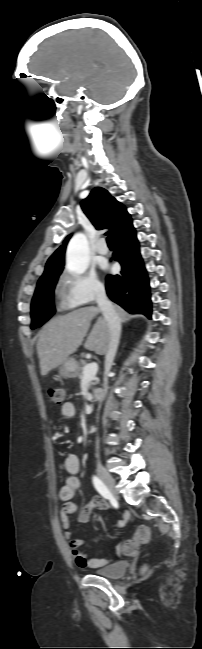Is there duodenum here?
<instances>
[{
  "instance_id": "duodenum-1",
  "label": "duodenum",
  "mask_w": 202,
  "mask_h": 649,
  "mask_svg": "<svg viewBox=\"0 0 202 649\" xmlns=\"http://www.w3.org/2000/svg\"><path fill=\"white\" fill-rule=\"evenodd\" d=\"M96 401H101L103 399L102 393H95L94 395Z\"/></svg>"
}]
</instances>
